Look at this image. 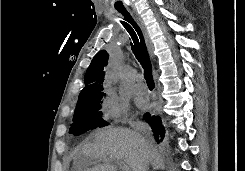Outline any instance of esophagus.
Instances as JSON below:
<instances>
[{"label":"esophagus","instance_id":"34e87169","mask_svg":"<svg viewBox=\"0 0 245 171\" xmlns=\"http://www.w3.org/2000/svg\"><path fill=\"white\" fill-rule=\"evenodd\" d=\"M125 7L131 13L133 18L137 22L138 26L140 27V29H141V31L143 33V36H144L145 43L147 45L148 51H149L151 57H153V44H152V41L150 39L149 33H148L147 29H146V26L144 25L142 19L137 14L136 10L134 9V7L132 5L125 4Z\"/></svg>","mask_w":245,"mask_h":171}]
</instances>
